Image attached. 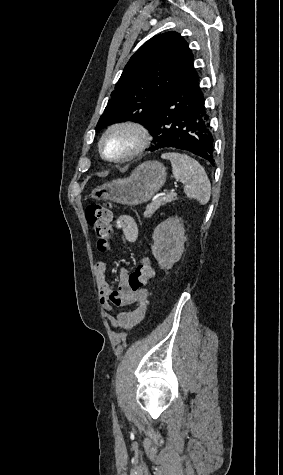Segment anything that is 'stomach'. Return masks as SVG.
<instances>
[{"mask_svg": "<svg viewBox=\"0 0 283 475\" xmlns=\"http://www.w3.org/2000/svg\"><path fill=\"white\" fill-rule=\"evenodd\" d=\"M166 180V168L161 162H143L125 180H113L97 186L90 194L92 200H110L125 206H138L151 200Z\"/></svg>", "mask_w": 283, "mask_h": 475, "instance_id": "stomach-1", "label": "stomach"}]
</instances>
